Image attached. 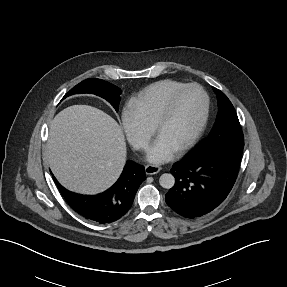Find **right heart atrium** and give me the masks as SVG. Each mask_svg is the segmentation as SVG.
Masks as SVG:
<instances>
[{
  "label": "right heart atrium",
  "mask_w": 287,
  "mask_h": 287,
  "mask_svg": "<svg viewBox=\"0 0 287 287\" xmlns=\"http://www.w3.org/2000/svg\"><path fill=\"white\" fill-rule=\"evenodd\" d=\"M128 141L138 150H144L152 137V129L147 127L132 111L125 109L121 117Z\"/></svg>",
  "instance_id": "obj_1"
}]
</instances>
